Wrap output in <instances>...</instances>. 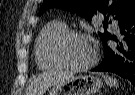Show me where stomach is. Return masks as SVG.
<instances>
[{"label":"stomach","mask_w":135,"mask_h":95,"mask_svg":"<svg viewBox=\"0 0 135 95\" xmlns=\"http://www.w3.org/2000/svg\"><path fill=\"white\" fill-rule=\"evenodd\" d=\"M102 87V81L91 75H73L53 86L49 95H93Z\"/></svg>","instance_id":"0dacf381"}]
</instances>
